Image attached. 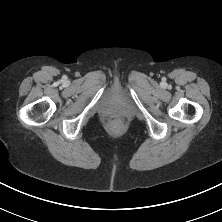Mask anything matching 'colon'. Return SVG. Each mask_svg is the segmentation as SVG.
<instances>
[{
  "instance_id": "colon-1",
  "label": "colon",
  "mask_w": 222,
  "mask_h": 222,
  "mask_svg": "<svg viewBox=\"0 0 222 222\" xmlns=\"http://www.w3.org/2000/svg\"><path fill=\"white\" fill-rule=\"evenodd\" d=\"M110 125L114 126V127H118L120 125H122V120L120 117L118 116H113L110 121H109Z\"/></svg>"
}]
</instances>
